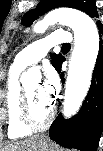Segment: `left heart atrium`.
Listing matches in <instances>:
<instances>
[{
    "instance_id": "39dd6f15",
    "label": "left heart atrium",
    "mask_w": 103,
    "mask_h": 151,
    "mask_svg": "<svg viewBox=\"0 0 103 151\" xmlns=\"http://www.w3.org/2000/svg\"><path fill=\"white\" fill-rule=\"evenodd\" d=\"M59 88V80L57 74L53 70L47 71V76L43 84L40 85V93L42 98L52 103Z\"/></svg>"
}]
</instances>
